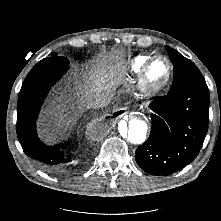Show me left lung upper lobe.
<instances>
[{
    "label": "left lung upper lobe",
    "mask_w": 221,
    "mask_h": 221,
    "mask_svg": "<svg viewBox=\"0 0 221 221\" xmlns=\"http://www.w3.org/2000/svg\"><path fill=\"white\" fill-rule=\"evenodd\" d=\"M167 50L173 64L174 73L173 85L169 91L170 93H176L189 86L206 84L201 72L192 61L169 46H167Z\"/></svg>",
    "instance_id": "obj_1"
}]
</instances>
